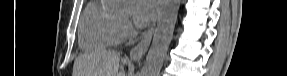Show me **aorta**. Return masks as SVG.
<instances>
[{"label":"aorta","mask_w":287,"mask_h":76,"mask_svg":"<svg viewBox=\"0 0 287 76\" xmlns=\"http://www.w3.org/2000/svg\"><path fill=\"white\" fill-rule=\"evenodd\" d=\"M180 0H162L151 47L140 76H159L173 37Z\"/></svg>","instance_id":"obj_1"}]
</instances>
